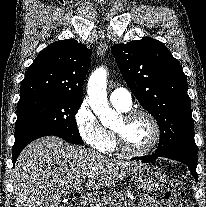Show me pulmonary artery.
<instances>
[{"instance_id":"obj_1","label":"pulmonary artery","mask_w":206,"mask_h":207,"mask_svg":"<svg viewBox=\"0 0 206 207\" xmlns=\"http://www.w3.org/2000/svg\"><path fill=\"white\" fill-rule=\"evenodd\" d=\"M110 101L113 105H117L125 110H129L132 105L131 94L123 87L115 88L111 92Z\"/></svg>"}]
</instances>
